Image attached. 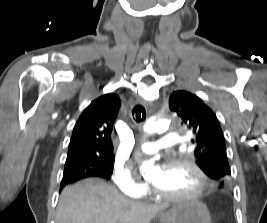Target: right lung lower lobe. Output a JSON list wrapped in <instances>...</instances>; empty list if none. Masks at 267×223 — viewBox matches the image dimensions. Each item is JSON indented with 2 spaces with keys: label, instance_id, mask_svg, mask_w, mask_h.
Returning a JSON list of instances; mask_svg holds the SVG:
<instances>
[{
  "label": "right lung lower lobe",
  "instance_id": "98d812e1",
  "mask_svg": "<svg viewBox=\"0 0 267 223\" xmlns=\"http://www.w3.org/2000/svg\"><path fill=\"white\" fill-rule=\"evenodd\" d=\"M86 177H102V176L97 173H92L89 171H82V170L68 171V172L65 171L63 174V179L61 182L60 190L68 183H71V182H74L76 180L86 178Z\"/></svg>",
  "mask_w": 267,
  "mask_h": 223
}]
</instances>
